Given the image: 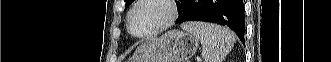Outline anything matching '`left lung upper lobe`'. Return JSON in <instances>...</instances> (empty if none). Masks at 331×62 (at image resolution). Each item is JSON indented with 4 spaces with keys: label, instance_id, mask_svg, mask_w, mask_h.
Returning <instances> with one entry per match:
<instances>
[{
    "label": "left lung upper lobe",
    "instance_id": "left-lung-upper-lobe-1",
    "mask_svg": "<svg viewBox=\"0 0 331 62\" xmlns=\"http://www.w3.org/2000/svg\"><path fill=\"white\" fill-rule=\"evenodd\" d=\"M126 2V7H128L134 0H124ZM187 0H180V4H177L178 7H184Z\"/></svg>",
    "mask_w": 331,
    "mask_h": 62
}]
</instances>
